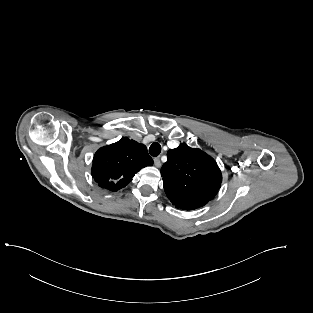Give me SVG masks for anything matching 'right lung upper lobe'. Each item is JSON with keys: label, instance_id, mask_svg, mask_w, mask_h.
<instances>
[{"label": "right lung upper lobe", "instance_id": "1", "mask_svg": "<svg viewBox=\"0 0 313 313\" xmlns=\"http://www.w3.org/2000/svg\"><path fill=\"white\" fill-rule=\"evenodd\" d=\"M152 165L145 145L123 138L97 150L91 171L101 188L115 192L125 187L142 168Z\"/></svg>", "mask_w": 313, "mask_h": 313}]
</instances>
